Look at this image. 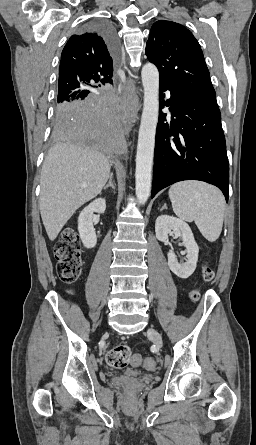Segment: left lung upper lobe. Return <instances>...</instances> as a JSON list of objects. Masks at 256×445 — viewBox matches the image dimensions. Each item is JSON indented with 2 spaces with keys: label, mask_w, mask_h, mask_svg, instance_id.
<instances>
[{
  "label": "left lung upper lobe",
  "mask_w": 256,
  "mask_h": 445,
  "mask_svg": "<svg viewBox=\"0 0 256 445\" xmlns=\"http://www.w3.org/2000/svg\"><path fill=\"white\" fill-rule=\"evenodd\" d=\"M146 55L160 73V81L196 94L216 98L202 50L181 24L160 20L153 24Z\"/></svg>",
  "instance_id": "1"
}]
</instances>
